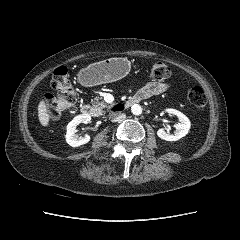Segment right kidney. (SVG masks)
Masks as SVG:
<instances>
[{
    "mask_svg": "<svg viewBox=\"0 0 240 240\" xmlns=\"http://www.w3.org/2000/svg\"><path fill=\"white\" fill-rule=\"evenodd\" d=\"M91 120V116L89 114H81L76 117L72 121H70L67 125V132H66V142L72 147H78L84 145L90 141V136L85 135L84 137H79L76 134V127L80 123L87 124Z\"/></svg>",
    "mask_w": 240,
    "mask_h": 240,
    "instance_id": "ca27d5eb",
    "label": "right kidney"
}]
</instances>
